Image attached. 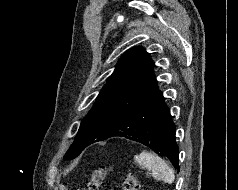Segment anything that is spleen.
Wrapping results in <instances>:
<instances>
[{"label": "spleen", "instance_id": "1", "mask_svg": "<svg viewBox=\"0 0 238 190\" xmlns=\"http://www.w3.org/2000/svg\"><path fill=\"white\" fill-rule=\"evenodd\" d=\"M134 159L139 165L146 167L156 180L168 184L175 180L174 170L158 155L143 151Z\"/></svg>", "mask_w": 238, "mask_h": 190}]
</instances>
